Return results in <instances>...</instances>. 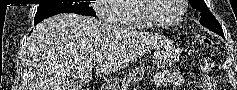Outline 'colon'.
Returning a JSON list of instances; mask_svg holds the SVG:
<instances>
[{"label": "colon", "mask_w": 237, "mask_h": 90, "mask_svg": "<svg viewBox=\"0 0 237 90\" xmlns=\"http://www.w3.org/2000/svg\"><path fill=\"white\" fill-rule=\"evenodd\" d=\"M199 42L203 45H206V46H211V44H212L211 39L205 35H202L199 37Z\"/></svg>", "instance_id": "5ec220e1"}]
</instances>
